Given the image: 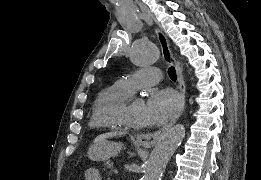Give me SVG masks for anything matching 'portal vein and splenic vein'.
<instances>
[{
  "instance_id": "portal-vein-and-splenic-vein-1",
  "label": "portal vein and splenic vein",
  "mask_w": 261,
  "mask_h": 180,
  "mask_svg": "<svg viewBox=\"0 0 261 180\" xmlns=\"http://www.w3.org/2000/svg\"><path fill=\"white\" fill-rule=\"evenodd\" d=\"M112 174H113V175H118V174H119V171H118V170H113V171H112Z\"/></svg>"
}]
</instances>
